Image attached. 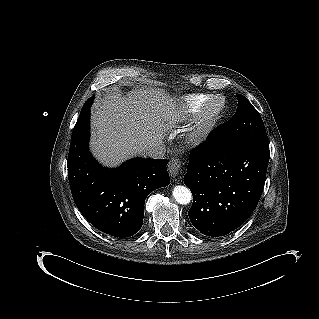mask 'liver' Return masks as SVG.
Wrapping results in <instances>:
<instances>
[{
	"label": "liver",
	"instance_id": "6515ba94",
	"mask_svg": "<svg viewBox=\"0 0 319 319\" xmlns=\"http://www.w3.org/2000/svg\"><path fill=\"white\" fill-rule=\"evenodd\" d=\"M180 116L176 100L164 93L139 89L122 95L111 91L91 110L93 155L110 167L142 155V147L163 144L165 133Z\"/></svg>",
	"mask_w": 319,
	"mask_h": 319
}]
</instances>
